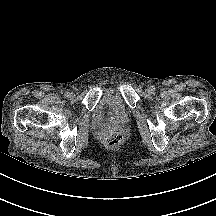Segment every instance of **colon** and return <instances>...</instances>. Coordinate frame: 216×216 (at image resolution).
<instances>
[{
  "instance_id": "colon-1",
  "label": "colon",
  "mask_w": 216,
  "mask_h": 216,
  "mask_svg": "<svg viewBox=\"0 0 216 216\" xmlns=\"http://www.w3.org/2000/svg\"><path fill=\"white\" fill-rule=\"evenodd\" d=\"M122 135L119 132H111L105 138V142L109 147H115L122 142Z\"/></svg>"
}]
</instances>
